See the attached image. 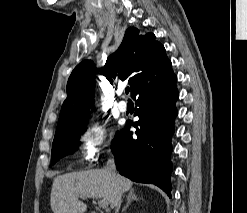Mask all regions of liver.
Here are the masks:
<instances>
[{
  "instance_id": "obj_1",
  "label": "liver",
  "mask_w": 247,
  "mask_h": 213,
  "mask_svg": "<svg viewBox=\"0 0 247 213\" xmlns=\"http://www.w3.org/2000/svg\"><path fill=\"white\" fill-rule=\"evenodd\" d=\"M133 183L120 175L112 177L107 168L72 172L54 178L50 205L54 213H85L87 205L79 198L105 199L111 209L117 197L131 189Z\"/></svg>"
}]
</instances>
